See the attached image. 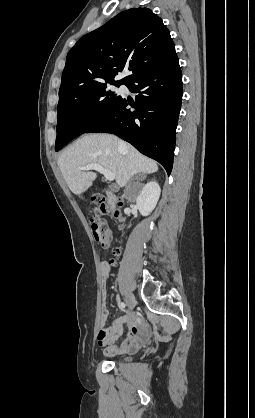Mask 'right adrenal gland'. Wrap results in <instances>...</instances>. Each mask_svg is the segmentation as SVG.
I'll return each instance as SVG.
<instances>
[{"label": "right adrenal gland", "instance_id": "1", "mask_svg": "<svg viewBox=\"0 0 255 418\" xmlns=\"http://www.w3.org/2000/svg\"><path fill=\"white\" fill-rule=\"evenodd\" d=\"M141 177V180H144L146 178V175L142 176L139 174V176H136V178Z\"/></svg>", "mask_w": 255, "mask_h": 418}]
</instances>
